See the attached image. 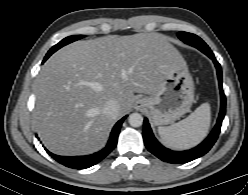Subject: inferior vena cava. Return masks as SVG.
Returning a JSON list of instances; mask_svg holds the SVG:
<instances>
[{
    "label": "inferior vena cava",
    "mask_w": 248,
    "mask_h": 195,
    "mask_svg": "<svg viewBox=\"0 0 248 195\" xmlns=\"http://www.w3.org/2000/svg\"><path fill=\"white\" fill-rule=\"evenodd\" d=\"M103 113L111 118H117L119 115V104L116 100H109L103 107Z\"/></svg>",
    "instance_id": "1"
}]
</instances>
